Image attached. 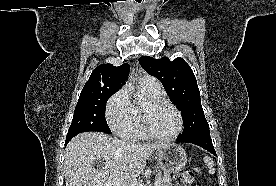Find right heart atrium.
I'll list each match as a JSON object with an SVG mask.
<instances>
[{
    "instance_id": "d8ad5b80",
    "label": "right heart atrium",
    "mask_w": 276,
    "mask_h": 186,
    "mask_svg": "<svg viewBox=\"0 0 276 186\" xmlns=\"http://www.w3.org/2000/svg\"><path fill=\"white\" fill-rule=\"evenodd\" d=\"M106 119L109 127L116 133L123 135L133 128L135 115L126 87L118 90L108 100Z\"/></svg>"
}]
</instances>
